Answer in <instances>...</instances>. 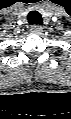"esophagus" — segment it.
<instances>
[{
    "label": "esophagus",
    "mask_w": 71,
    "mask_h": 119,
    "mask_svg": "<svg viewBox=\"0 0 71 119\" xmlns=\"http://www.w3.org/2000/svg\"><path fill=\"white\" fill-rule=\"evenodd\" d=\"M30 30L32 32H34V33H38L39 34V33L42 32L43 28L40 25H33V26H31Z\"/></svg>",
    "instance_id": "34e87169"
}]
</instances>
